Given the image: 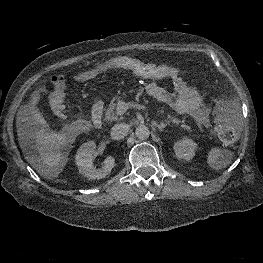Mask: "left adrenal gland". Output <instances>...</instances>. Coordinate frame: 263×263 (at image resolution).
I'll return each mask as SVG.
<instances>
[{"label":"left adrenal gland","instance_id":"left-adrenal-gland-1","mask_svg":"<svg viewBox=\"0 0 263 263\" xmlns=\"http://www.w3.org/2000/svg\"><path fill=\"white\" fill-rule=\"evenodd\" d=\"M169 121H165V122H161L160 124H158L157 122H152V124L153 125H155L158 129H159V131H163V129L167 126V125H169Z\"/></svg>","mask_w":263,"mask_h":263}]
</instances>
